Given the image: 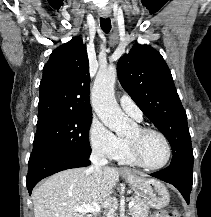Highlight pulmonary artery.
Returning a JSON list of instances; mask_svg holds the SVG:
<instances>
[{"instance_id": "1", "label": "pulmonary artery", "mask_w": 211, "mask_h": 217, "mask_svg": "<svg viewBox=\"0 0 211 217\" xmlns=\"http://www.w3.org/2000/svg\"><path fill=\"white\" fill-rule=\"evenodd\" d=\"M119 104L123 111L130 117L136 119L137 121L142 120V111L129 95L123 94L119 98Z\"/></svg>"}]
</instances>
